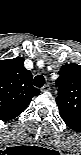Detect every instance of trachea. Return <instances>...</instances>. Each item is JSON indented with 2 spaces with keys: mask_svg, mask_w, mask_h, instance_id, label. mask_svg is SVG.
<instances>
[{
  "mask_svg": "<svg viewBox=\"0 0 81 155\" xmlns=\"http://www.w3.org/2000/svg\"><path fill=\"white\" fill-rule=\"evenodd\" d=\"M34 85L36 87H42L45 83V78L42 76V75H37L35 78H34Z\"/></svg>",
  "mask_w": 81,
  "mask_h": 155,
  "instance_id": "trachea-1",
  "label": "trachea"
}]
</instances>
